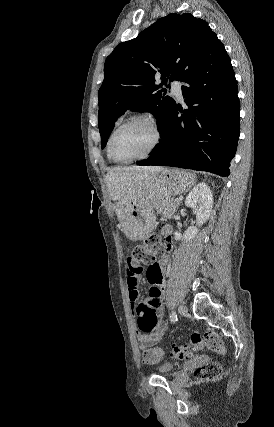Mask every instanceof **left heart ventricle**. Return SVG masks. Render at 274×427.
I'll use <instances>...</instances> for the list:
<instances>
[{"label":"left heart ventricle","mask_w":274,"mask_h":427,"mask_svg":"<svg viewBox=\"0 0 274 427\" xmlns=\"http://www.w3.org/2000/svg\"><path fill=\"white\" fill-rule=\"evenodd\" d=\"M155 132L143 120L131 122L115 134L112 142L114 153L122 159H131L145 153L154 143Z\"/></svg>","instance_id":"obj_1"}]
</instances>
